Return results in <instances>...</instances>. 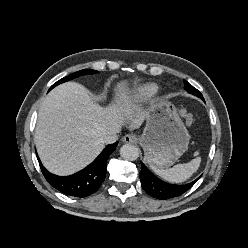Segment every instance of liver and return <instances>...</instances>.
I'll return each mask as SVG.
<instances>
[{"instance_id": "6515ba94", "label": "liver", "mask_w": 248, "mask_h": 248, "mask_svg": "<svg viewBox=\"0 0 248 248\" xmlns=\"http://www.w3.org/2000/svg\"><path fill=\"white\" fill-rule=\"evenodd\" d=\"M128 82L117 85L115 104L103 108L78 83L54 88L43 100L35 128V143L43 165L57 175L73 174L103 150L102 138L129 124L139 128L145 113L126 94Z\"/></svg>"}]
</instances>
